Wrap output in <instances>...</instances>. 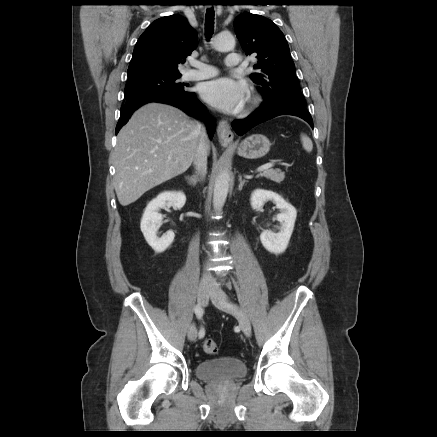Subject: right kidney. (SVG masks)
<instances>
[{
  "instance_id": "1",
  "label": "right kidney",
  "mask_w": 437,
  "mask_h": 437,
  "mask_svg": "<svg viewBox=\"0 0 437 437\" xmlns=\"http://www.w3.org/2000/svg\"><path fill=\"white\" fill-rule=\"evenodd\" d=\"M185 202L186 196L183 192L166 191L160 193L147 205L141 219L140 228L145 240L155 252H164L172 244L175 237L173 231H168L162 237L157 236V230L163 219L159 210L170 207L181 209Z\"/></svg>"
}]
</instances>
